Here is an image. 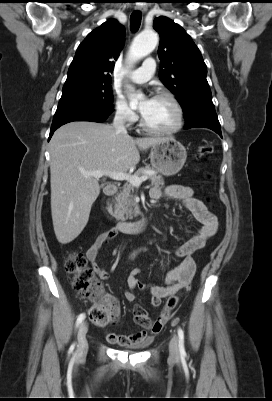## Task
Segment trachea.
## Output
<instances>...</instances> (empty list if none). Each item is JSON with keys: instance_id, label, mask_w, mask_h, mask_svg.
<instances>
[{"instance_id": "3493384b", "label": "trachea", "mask_w": 272, "mask_h": 401, "mask_svg": "<svg viewBox=\"0 0 272 401\" xmlns=\"http://www.w3.org/2000/svg\"><path fill=\"white\" fill-rule=\"evenodd\" d=\"M142 14L140 11H134L130 16V28L136 32L141 24Z\"/></svg>"}]
</instances>
